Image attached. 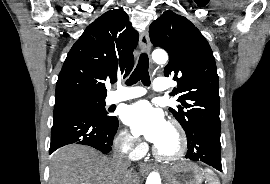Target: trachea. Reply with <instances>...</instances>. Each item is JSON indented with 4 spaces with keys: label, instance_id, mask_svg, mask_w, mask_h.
<instances>
[{
    "label": "trachea",
    "instance_id": "3493384b",
    "mask_svg": "<svg viewBox=\"0 0 270 184\" xmlns=\"http://www.w3.org/2000/svg\"><path fill=\"white\" fill-rule=\"evenodd\" d=\"M148 67H149L148 55L146 53H142L139 57V61L135 70L131 74L130 78L127 80L126 84L133 85L137 83L139 80H141L144 85L149 86L150 77Z\"/></svg>",
    "mask_w": 270,
    "mask_h": 184
}]
</instances>
